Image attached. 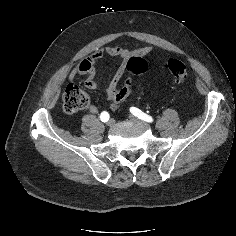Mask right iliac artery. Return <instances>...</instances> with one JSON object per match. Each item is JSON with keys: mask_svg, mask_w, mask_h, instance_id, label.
I'll return each mask as SVG.
<instances>
[{"mask_svg": "<svg viewBox=\"0 0 236 236\" xmlns=\"http://www.w3.org/2000/svg\"><path fill=\"white\" fill-rule=\"evenodd\" d=\"M110 116H109V113L107 111H103L101 114H100V119L102 122H107L109 120Z\"/></svg>", "mask_w": 236, "mask_h": 236, "instance_id": "obj_1", "label": "right iliac artery"}]
</instances>
